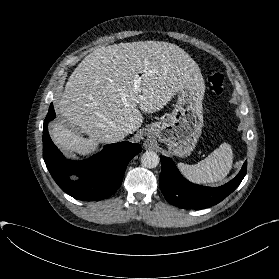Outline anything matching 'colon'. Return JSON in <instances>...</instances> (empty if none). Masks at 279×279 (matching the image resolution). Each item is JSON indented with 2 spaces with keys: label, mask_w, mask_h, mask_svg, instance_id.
I'll list each match as a JSON object with an SVG mask.
<instances>
[{
  "label": "colon",
  "mask_w": 279,
  "mask_h": 279,
  "mask_svg": "<svg viewBox=\"0 0 279 279\" xmlns=\"http://www.w3.org/2000/svg\"><path fill=\"white\" fill-rule=\"evenodd\" d=\"M209 89L212 93L220 95L223 92L224 74L221 69H214L208 77Z\"/></svg>",
  "instance_id": "colon-1"
}]
</instances>
